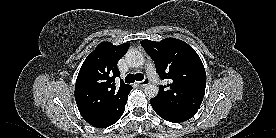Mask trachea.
I'll list each match as a JSON object with an SVG mask.
<instances>
[{
  "mask_svg": "<svg viewBox=\"0 0 276 138\" xmlns=\"http://www.w3.org/2000/svg\"><path fill=\"white\" fill-rule=\"evenodd\" d=\"M144 79V76L143 74H128L126 77H125V82L126 83H133L135 81H142Z\"/></svg>",
  "mask_w": 276,
  "mask_h": 138,
  "instance_id": "3493384b",
  "label": "trachea"
}]
</instances>
